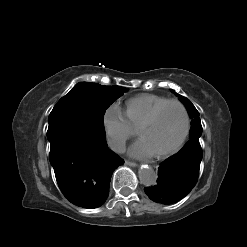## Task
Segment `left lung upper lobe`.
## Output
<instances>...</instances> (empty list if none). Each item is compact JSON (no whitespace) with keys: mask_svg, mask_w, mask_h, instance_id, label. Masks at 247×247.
I'll list each match as a JSON object with an SVG mask.
<instances>
[{"mask_svg":"<svg viewBox=\"0 0 247 247\" xmlns=\"http://www.w3.org/2000/svg\"><path fill=\"white\" fill-rule=\"evenodd\" d=\"M180 99L186 105L189 112V116L192 119L190 138L199 140V137L202 134V126H201V120L199 118V112L197 111V109L194 107V105L191 103L189 99H187L186 97H181Z\"/></svg>","mask_w":247,"mask_h":247,"instance_id":"obj_1","label":"left lung upper lobe"}]
</instances>
